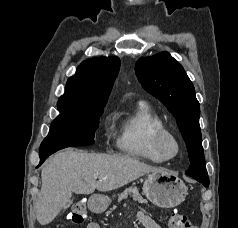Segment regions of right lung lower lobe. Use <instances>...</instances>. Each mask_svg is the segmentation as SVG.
<instances>
[{
    "label": "right lung lower lobe",
    "instance_id": "98d812e1",
    "mask_svg": "<svg viewBox=\"0 0 238 228\" xmlns=\"http://www.w3.org/2000/svg\"><path fill=\"white\" fill-rule=\"evenodd\" d=\"M60 149H63V148L49 149V150H40V151H39L40 163H39V165H38L37 167H39V166L45 161V159H46L49 155L55 153L56 151H58V150H60Z\"/></svg>",
    "mask_w": 238,
    "mask_h": 228
}]
</instances>
